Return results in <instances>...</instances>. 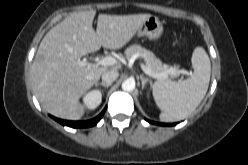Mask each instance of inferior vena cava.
I'll use <instances>...</instances> for the list:
<instances>
[{
	"label": "inferior vena cava",
	"mask_w": 248,
	"mask_h": 165,
	"mask_svg": "<svg viewBox=\"0 0 248 165\" xmlns=\"http://www.w3.org/2000/svg\"><path fill=\"white\" fill-rule=\"evenodd\" d=\"M118 76H119L118 71L110 69L102 74V81L104 83L112 84L118 78Z\"/></svg>",
	"instance_id": "1"
}]
</instances>
